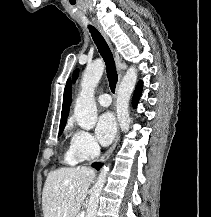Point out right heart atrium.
Segmentation results:
<instances>
[{
    "label": "right heart atrium",
    "instance_id": "1",
    "mask_svg": "<svg viewBox=\"0 0 211 217\" xmlns=\"http://www.w3.org/2000/svg\"><path fill=\"white\" fill-rule=\"evenodd\" d=\"M70 147L81 160L93 159L100 152V147L94 136L83 129L73 130Z\"/></svg>",
    "mask_w": 211,
    "mask_h": 217
}]
</instances>
